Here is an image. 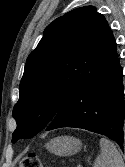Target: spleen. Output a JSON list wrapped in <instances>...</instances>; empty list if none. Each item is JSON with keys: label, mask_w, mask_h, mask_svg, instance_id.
Here are the masks:
<instances>
[{"label": "spleen", "mask_w": 125, "mask_h": 167, "mask_svg": "<svg viewBox=\"0 0 125 167\" xmlns=\"http://www.w3.org/2000/svg\"><path fill=\"white\" fill-rule=\"evenodd\" d=\"M101 152L95 159L93 167H125L123 158L116 146L108 139H100Z\"/></svg>", "instance_id": "1"}]
</instances>
